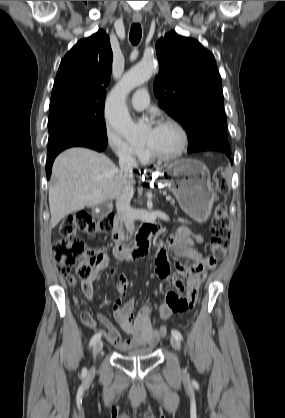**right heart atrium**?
Returning <instances> with one entry per match:
<instances>
[{
  "mask_svg": "<svg viewBox=\"0 0 285 418\" xmlns=\"http://www.w3.org/2000/svg\"><path fill=\"white\" fill-rule=\"evenodd\" d=\"M105 143L107 147L122 160H135L146 152L144 147L132 145L111 126H107L106 128Z\"/></svg>",
  "mask_w": 285,
  "mask_h": 418,
  "instance_id": "right-heart-atrium-1",
  "label": "right heart atrium"
}]
</instances>
